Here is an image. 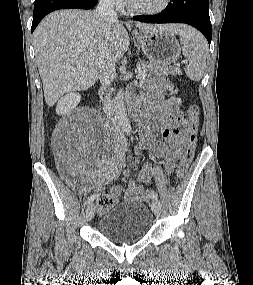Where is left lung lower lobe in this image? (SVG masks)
Masks as SVG:
<instances>
[{
  "instance_id": "1",
  "label": "left lung lower lobe",
  "mask_w": 253,
  "mask_h": 285,
  "mask_svg": "<svg viewBox=\"0 0 253 285\" xmlns=\"http://www.w3.org/2000/svg\"><path fill=\"white\" fill-rule=\"evenodd\" d=\"M162 13L134 16L146 23H186L204 34L210 45L212 26L209 17V0H171Z\"/></svg>"
}]
</instances>
